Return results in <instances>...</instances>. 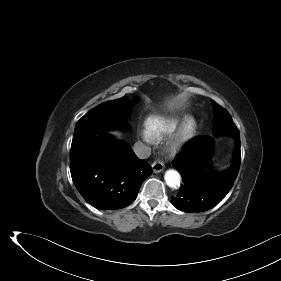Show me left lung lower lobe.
Returning a JSON list of instances; mask_svg holds the SVG:
<instances>
[{
    "label": "left lung lower lobe",
    "mask_w": 281,
    "mask_h": 281,
    "mask_svg": "<svg viewBox=\"0 0 281 281\" xmlns=\"http://www.w3.org/2000/svg\"><path fill=\"white\" fill-rule=\"evenodd\" d=\"M236 150L231 168L222 175H217L210 168L212 138L200 136L193 139L178 155L173 166L182 176V186L172 204L183 212L206 211L217 205L230 191L237 177L240 157V135L237 131Z\"/></svg>",
    "instance_id": "left-lung-lower-lobe-1"
}]
</instances>
